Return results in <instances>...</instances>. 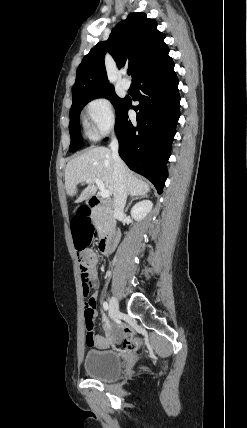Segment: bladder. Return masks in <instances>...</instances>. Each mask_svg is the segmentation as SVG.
Here are the masks:
<instances>
[{"mask_svg":"<svg viewBox=\"0 0 247 428\" xmlns=\"http://www.w3.org/2000/svg\"><path fill=\"white\" fill-rule=\"evenodd\" d=\"M122 369V359L114 350H90L84 359V370L94 379L114 380L121 375Z\"/></svg>","mask_w":247,"mask_h":428,"instance_id":"31cf9c89","label":"bladder"}]
</instances>
